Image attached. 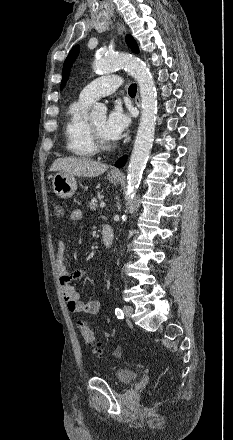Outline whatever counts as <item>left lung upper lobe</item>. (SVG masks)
<instances>
[{
    "instance_id": "5c2ea615",
    "label": "left lung upper lobe",
    "mask_w": 233,
    "mask_h": 440,
    "mask_svg": "<svg viewBox=\"0 0 233 440\" xmlns=\"http://www.w3.org/2000/svg\"><path fill=\"white\" fill-rule=\"evenodd\" d=\"M126 42H127L128 46L132 49V51H134L135 53L139 52L138 46H137L135 40L131 36L128 35L126 37ZM78 54H79V45H76L71 49V51L69 52V54L64 62L61 89L65 86V83L69 77L72 63L75 61Z\"/></svg>"
}]
</instances>
